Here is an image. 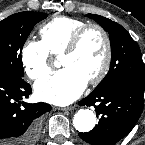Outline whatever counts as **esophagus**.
<instances>
[{"instance_id": "1", "label": "esophagus", "mask_w": 145, "mask_h": 145, "mask_svg": "<svg viewBox=\"0 0 145 145\" xmlns=\"http://www.w3.org/2000/svg\"><path fill=\"white\" fill-rule=\"evenodd\" d=\"M59 110L61 111H71L74 109V106H69V107H61V108H58Z\"/></svg>"}]
</instances>
